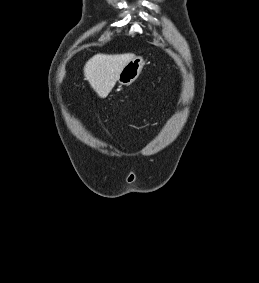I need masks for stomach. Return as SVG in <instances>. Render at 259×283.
Listing matches in <instances>:
<instances>
[{"label":"stomach","instance_id":"1","mask_svg":"<svg viewBox=\"0 0 259 283\" xmlns=\"http://www.w3.org/2000/svg\"><path fill=\"white\" fill-rule=\"evenodd\" d=\"M144 66V60L142 57H135L129 61L125 67L121 70L118 76V83L120 85L132 84L140 75Z\"/></svg>","mask_w":259,"mask_h":283}]
</instances>
